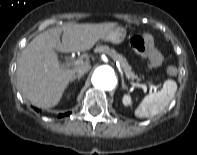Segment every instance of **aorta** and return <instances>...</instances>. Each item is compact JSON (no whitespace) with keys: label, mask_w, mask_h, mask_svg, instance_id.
Returning a JSON list of instances; mask_svg holds the SVG:
<instances>
[{"label":"aorta","mask_w":197,"mask_h":155,"mask_svg":"<svg viewBox=\"0 0 197 155\" xmlns=\"http://www.w3.org/2000/svg\"><path fill=\"white\" fill-rule=\"evenodd\" d=\"M92 83L102 90H112L117 84L114 70L109 65L97 67L92 75Z\"/></svg>","instance_id":"aorta-1"}]
</instances>
